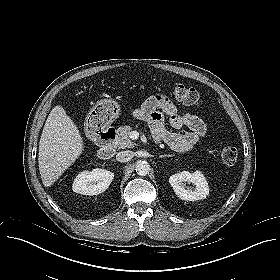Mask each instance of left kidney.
I'll return each mask as SVG.
<instances>
[{
  "mask_svg": "<svg viewBox=\"0 0 280 280\" xmlns=\"http://www.w3.org/2000/svg\"><path fill=\"white\" fill-rule=\"evenodd\" d=\"M169 183L173 187L175 194L185 201L202 200L209 194L208 182L200 171L176 173L170 176ZM187 183H192L193 186H187Z\"/></svg>",
  "mask_w": 280,
  "mask_h": 280,
  "instance_id": "5707ae66",
  "label": "left kidney"
}]
</instances>
